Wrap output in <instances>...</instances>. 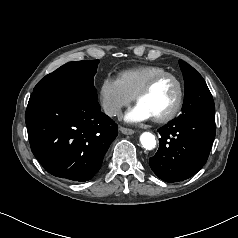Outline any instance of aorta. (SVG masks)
I'll use <instances>...</instances> for the list:
<instances>
[{
	"label": "aorta",
	"instance_id": "obj_1",
	"mask_svg": "<svg viewBox=\"0 0 238 238\" xmlns=\"http://www.w3.org/2000/svg\"><path fill=\"white\" fill-rule=\"evenodd\" d=\"M140 143L143 148L147 150H152L156 146V139L155 135L152 134L151 132H143L140 135Z\"/></svg>",
	"mask_w": 238,
	"mask_h": 238
}]
</instances>
